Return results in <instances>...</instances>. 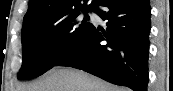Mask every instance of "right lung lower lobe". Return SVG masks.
<instances>
[{"instance_id":"1","label":"right lung lower lobe","mask_w":173,"mask_h":91,"mask_svg":"<svg viewBox=\"0 0 173 91\" xmlns=\"http://www.w3.org/2000/svg\"><path fill=\"white\" fill-rule=\"evenodd\" d=\"M93 11L107 20L105 29L92 24L81 42L55 66L81 69L134 91H147L149 0H98Z\"/></svg>"}]
</instances>
